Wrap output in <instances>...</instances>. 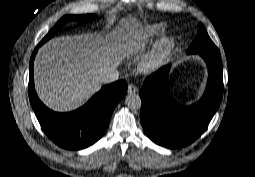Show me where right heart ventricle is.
<instances>
[{
  "label": "right heart ventricle",
  "mask_w": 255,
  "mask_h": 177,
  "mask_svg": "<svg viewBox=\"0 0 255 177\" xmlns=\"http://www.w3.org/2000/svg\"><path fill=\"white\" fill-rule=\"evenodd\" d=\"M163 33V29L159 26L148 29L141 35H139L137 41H135L130 48L131 53H137L139 50L153 44Z\"/></svg>",
  "instance_id": "1"
}]
</instances>
